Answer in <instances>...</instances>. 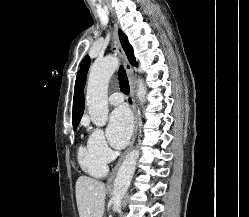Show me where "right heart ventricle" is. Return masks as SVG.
<instances>
[{"instance_id":"e07e8e85","label":"right heart ventricle","mask_w":249,"mask_h":217,"mask_svg":"<svg viewBox=\"0 0 249 217\" xmlns=\"http://www.w3.org/2000/svg\"><path fill=\"white\" fill-rule=\"evenodd\" d=\"M78 161L81 168L91 176L102 177L107 172L106 163L94 154L88 145L79 147Z\"/></svg>"}]
</instances>
